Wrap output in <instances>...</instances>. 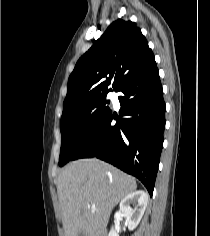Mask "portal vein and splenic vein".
Wrapping results in <instances>:
<instances>
[{
	"mask_svg": "<svg viewBox=\"0 0 210 236\" xmlns=\"http://www.w3.org/2000/svg\"><path fill=\"white\" fill-rule=\"evenodd\" d=\"M91 208H92V209H95V205H91Z\"/></svg>",
	"mask_w": 210,
	"mask_h": 236,
	"instance_id": "1",
	"label": "portal vein and splenic vein"
}]
</instances>
